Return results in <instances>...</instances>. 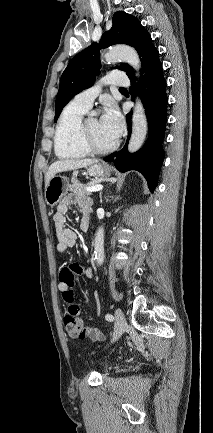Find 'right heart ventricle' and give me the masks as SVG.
I'll list each match as a JSON object with an SVG mask.
<instances>
[{"label": "right heart ventricle", "mask_w": 213, "mask_h": 433, "mask_svg": "<svg viewBox=\"0 0 213 433\" xmlns=\"http://www.w3.org/2000/svg\"><path fill=\"white\" fill-rule=\"evenodd\" d=\"M86 112V109L73 102L62 111L54 136V151L59 158L77 159L90 154L81 144L79 136L80 125Z\"/></svg>", "instance_id": "1"}]
</instances>
